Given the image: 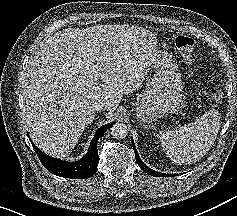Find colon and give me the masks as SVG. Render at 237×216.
I'll use <instances>...</instances> for the list:
<instances>
[{
	"instance_id": "5ec220e1",
	"label": "colon",
	"mask_w": 237,
	"mask_h": 216,
	"mask_svg": "<svg viewBox=\"0 0 237 216\" xmlns=\"http://www.w3.org/2000/svg\"><path fill=\"white\" fill-rule=\"evenodd\" d=\"M174 44L184 61L190 63L194 56L195 41L191 37L179 35L175 38ZM222 95L221 91L213 93L216 100L222 99Z\"/></svg>"
}]
</instances>
